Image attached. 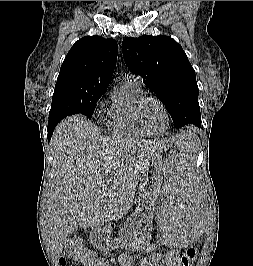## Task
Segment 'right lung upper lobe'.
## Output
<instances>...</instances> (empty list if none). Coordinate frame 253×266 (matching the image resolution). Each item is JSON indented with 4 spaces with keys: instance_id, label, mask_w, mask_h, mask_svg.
Masks as SVG:
<instances>
[{
    "instance_id": "obj_1",
    "label": "right lung upper lobe",
    "mask_w": 253,
    "mask_h": 266,
    "mask_svg": "<svg viewBox=\"0 0 253 266\" xmlns=\"http://www.w3.org/2000/svg\"><path fill=\"white\" fill-rule=\"evenodd\" d=\"M118 45L113 39L87 36L75 42L65 57L53 99L105 92L112 80Z\"/></svg>"
}]
</instances>
